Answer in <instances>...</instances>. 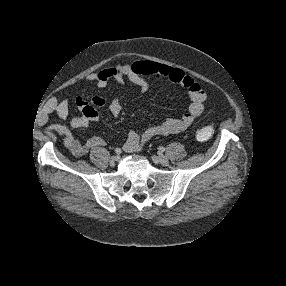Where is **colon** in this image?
Here are the masks:
<instances>
[{"instance_id": "obj_1", "label": "colon", "mask_w": 286, "mask_h": 286, "mask_svg": "<svg viewBox=\"0 0 286 286\" xmlns=\"http://www.w3.org/2000/svg\"><path fill=\"white\" fill-rule=\"evenodd\" d=\"M214 134V127L212 125H204L197 129L196 138L199 141H205L210 139Z\"/></svg>"}]
</instances>
